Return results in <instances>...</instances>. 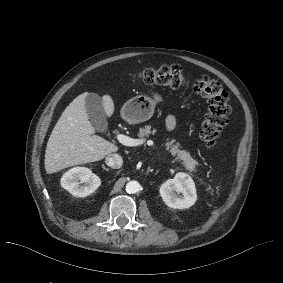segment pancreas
Returning <instances> with one entry per match:
<instances>
[{
  "instance_id": "1",
  "label": "pancreas",
  "mask_w": 283,
  "mask_h": 283,
  "mask_svg": "<svg viewBox=\"0 0 283 283\" xmlns=\"http://www.w3.org/2000/svg\"><path fill=\"white\" fill-rule=\"evenodd\" d=\"M155 133V129L152 130L150 125H145L139 129L137 136L144 137L150 134L154 135ZM171 145L172 147L170 148ZM179 145L178 142L175 143L174 139L165 143L166 150H170L172 156L176 157L177 160H182L190 171H196L197 162L190 156V153L186 149L180 148Z\"/></svg>"
}]
</instances>
